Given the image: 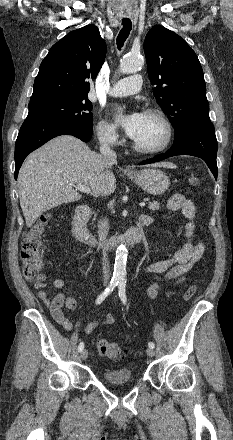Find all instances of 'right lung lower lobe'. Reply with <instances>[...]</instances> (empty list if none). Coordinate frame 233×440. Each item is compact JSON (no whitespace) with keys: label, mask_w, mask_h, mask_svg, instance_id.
I'll use <instances>...</instances> for the list:
<instances>
[{"label":"right lung lower lobe","mask_w":233,"mask_h":440,"mask_svg":"<svg viewBox=\"0 0 233 440\" xmlns=\"http://www.w3.org/2000/svg\"><path fill=\"white\" fill-rule=\"evenodd\" d=\"M59 135H73L84 142L91 140V134L74 123L50 118H26L15 144V179L26 156Z\"/></svg>","instance_id":"1"}]
</instances>
